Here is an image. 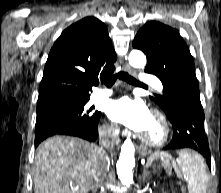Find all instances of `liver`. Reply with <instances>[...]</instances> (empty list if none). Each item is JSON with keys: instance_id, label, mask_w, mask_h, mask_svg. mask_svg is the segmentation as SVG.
Here are the masks:
<instances>
[{"instance_id": "liver-1", "label": "liver", "mask_w": 221, "mask_h": 193, "mask_svg": "<svg viewBox=\"0 0 221 193\" xmlns=\"http://www.w3.org/2000/svg\"><path fill=\"white\" fill-rule=\"evenodd\" d=\"M99 147L74 137L55 136L41 143L34 161V193H88Z\"/></svg>"}]
</instances>
